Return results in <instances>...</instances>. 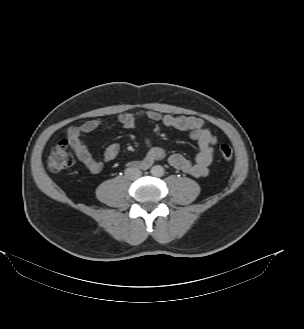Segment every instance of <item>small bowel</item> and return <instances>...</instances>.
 Listing matches in <instances>:
<instances>
[{"label":"small bowel","mask_w":304,"mask_h":329,"mask_svg":"<svg viewBox=\"0 0 304 329\" xmlns=\"http://www.w3.org/2000/svg\"><path fill=\"white\" fill-rule=\"evenodd\" d=\"M142 119L159 122L167 128L188 132L190 137L198 144V154L194 161L181 154L167 156L164 149L154 145L151 138L146 136L144 137V143L148 149L147 154L140 160L130 161L131 166L146 168L156 160L167 158L172 167L193 177H204L208 174L209 167L214 160V146L217 143V138L206 127L203 119L195 116H173L149 111L137 114L121 113L117 117V122L124 128L133 129L136 123ZM101 125L102 121L100 120H90L68 130L76 156L93 173L100 172L103 164L90 152L85 136L97 130ZM119 152L120 146L117 143H111L104 150L103 160L112 162L117 158Z\"/></svg>","instance_id":"c3829d8e"}]
</instances>
